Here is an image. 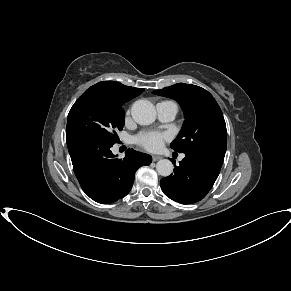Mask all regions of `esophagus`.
Instances as JSON below:
<instances>
[{"mask_svg": "<svg viewBox=\"0 0 291 291\" xmlns=\"http://www.w3.org/2000/svg\"><path fill=\"white\" fill-rule=\"evenodd\" d=\"M160 159H162V156H159V155H153L152 156V160L155 162V161H158V160H160Z\"/></svg>", "mask_w": 291, "mask_h": 291, "instance_id": "obj_1", "label": "esophagus"}]
</instances>
